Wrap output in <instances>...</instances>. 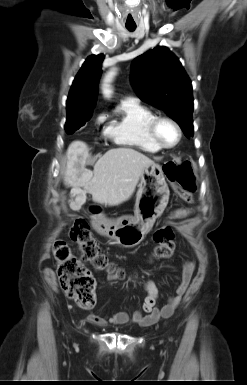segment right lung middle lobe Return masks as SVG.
Here are the masks:
<instances>
[{
    "label": "right lung middle lobe",
    "mask_w": 247,
    "mask_h": 385,
    "mask_svg": "<svg viewBox=\"0 0 247 385\" xmlns=\"http://www.w3.org/2000/svg\"><path fill=\"white\" fill-rule=\"evenodd\" d=\"M93 108H71L67 109V121L65 129L68 133H73L92 117Z\"/></svg>",
    "instance_id": "obj_1"
}]
</instances>
